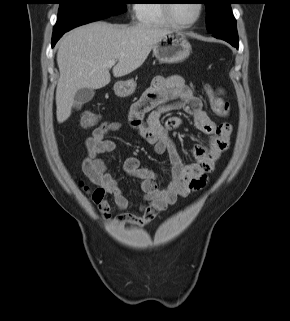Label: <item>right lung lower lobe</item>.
<instances>
[{
  "label": "right lung lower lobe",
  "mask_w": 290,
  "mask_h": 321,
  "mask_svg": "<svg viewBox=\"0 0 290 321\" xmlns=\"http://www.w3.org/2000/svg\"><path fill=\"white\" fill-rule=\"evenodd\" d=\"M67 31H62V32H53V37H52V47H54L55 43L63 36V34Z\"/></svg>",
  "instance_id": "1"
}]
</instances>
